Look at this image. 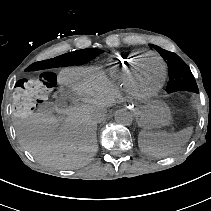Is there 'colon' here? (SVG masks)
<instances>
[{"mask_svg": "<svg viewBox=\"0 0 211 211\" xmlns=\"http://www.w3.org/2000/svg\"><path fill=\"white\" fill-rule=\"evenodd\" d=\"M57 84L54 73L44 71L31 79L17 82L13 94L12 108L19 118L29 117L47 98Z\"/></svg>", "mask_w": 211, "mask_h": 211, "instance_id": "1", "label": "colon"}]
</instances>
